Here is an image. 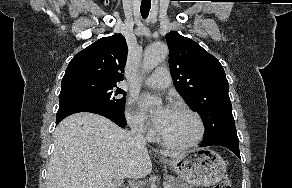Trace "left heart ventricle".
<instances>
[{"label": "left heart ventricle", "instance_id": "b2bd125f", "mask_svg": "<svg viewBox=\"0 0 292 188\" xmlns=\"http://www.w3.org/2000/svg\"><path fill=\"white\" fill-rule=\"evenodd\" d=\"M195 119L186 112L171 109L162 124L159 133L169 141L184 143L192 140L197 134Z\"/></svg>", "mask_w": 292, "mask_h": 188}]
</instances>
